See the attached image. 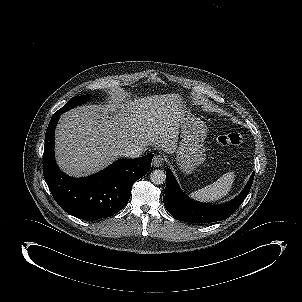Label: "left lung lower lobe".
Here are the masks:
<instances>
[{"instance_id":"1","label":"left lung lower lobe","mask_w":302,"mask_h":302,"mask_svg":"<svg viewBox=\"0 0 302 302\" xmlns=\"http://www.w3.org/2000/svg\"><path fill=\"white\" fill-rule=\"evenodd\" d=\"M254 173L244 190L233 200L220 205H205L189 199L179 188L173 174L166 170V187L163 202L168 212L177 220L191 223H210L230 217L241 205L252 186Z\"/></svg>"}]
</instances>
